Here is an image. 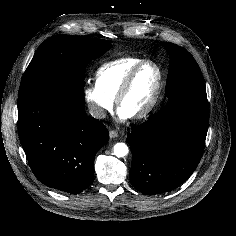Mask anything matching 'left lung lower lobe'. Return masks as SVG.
<instances>
[{"label":"left lung lower lobe","mask_w":236,"mask_h":236,"mask_svg":"<svg viewBox=\"0 0 236 236\" xmlns=\"http://www.w3.org/2000/svg\"><path fill=\"white\" fill-rule=\"evenodd\" d=\"M207 95L171 100L148 121L132 129V185L144 194L171 191L197 168L208 130Z\"/></svg>","instance_id":"0a47b994"}]
</instances>
